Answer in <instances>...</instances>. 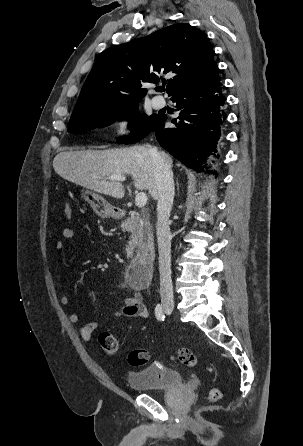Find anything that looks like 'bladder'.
Segmentation results:
<instances>
[{"label":"bladder","mask_w":303,"mask_h":446,"mask_svg":"<svg viewBox=\"0 0 303 446\" xmlns=\"http://www.w3.org/2000/svg\"><path fill=\"white\" fill-rule=\"evenodd\" d=\"M127 381L131 389L141 392L166 391L184 386L182 374L172 368L149 366L143 370L130 372Z\"/></svg>","instance_id":"31cf9c89"}]
</instances>
